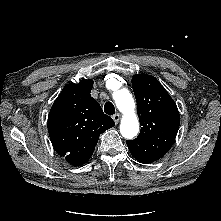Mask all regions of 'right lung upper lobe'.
I'll use <instances>...</instances> for the list:
<instances>
[{"label":"right lung upper lobe","instance_id":"1","mask_svg":"<svg viewBox=\"0 0 221 221\" xmlns=\"http://www.w3.org/2000/svg\"><path fill=\"white\" fill-rule=\"evenodd\" d=\"M92 87L90 79L67 84L48 115V131L55 151L75 166L90 159L99 135L115 124L91 97Z\"/></svg>","mask_w":221,"mask_h":221}]
</instances>
